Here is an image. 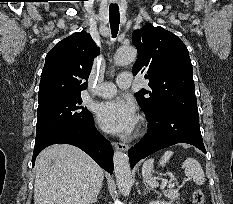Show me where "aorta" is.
Wrapping results in <instances>:
<instances>
[{
  "instance_id": "762f6f07",
  "label": "aorta",
  "mask_w": 233,
  "mask_h": 204,
  "mask_svg": "<svg viewBox=\"0 0 233 204\" xmlns=\"http://www.w3.org/2000/svg\"><path fill=\"white\" fill-rule=\"evenodd\" d=\"M137 51L132 46L120 47L114 57V63L119 66L128 65L136 60ZM114 172L120 191L127 195L131 189V170L128 156L125 153L116 151L113 157Z\"/></svg>"
}]
</instances>
